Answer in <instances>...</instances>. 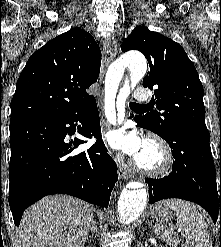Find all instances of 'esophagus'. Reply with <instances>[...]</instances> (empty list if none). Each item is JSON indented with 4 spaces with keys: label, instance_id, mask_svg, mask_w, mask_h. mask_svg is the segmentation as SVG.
Returning a JSON list of instances; mask_svg holds the SVG:
<instances>
[{
    "label": "esophagus",
    "instance_id": "34e87169",
    "mask_svg": "<svg viewBox=\"0 0 221 247\" xmlns=\"http://www.w3.org/2000/svg\"><path fill=\"white\" fill-rule=\"evenodd\" d=\"M117 53V45L113 37L105 41L103 46V56L101 62V70H100V82H102L106 68L110 64V62L114 59ZM118 106L120 107V113L124 116V100L118 99ZM104 126L107 127V124L104 123ZM121 157H117L119 160ZM118 172L121 178L123 179H130L132 177V173L125 170L121 165L118 164Z\"/></svg>",
    "mask_w": 221,
    "mask_h": 247
}]
</instances>
